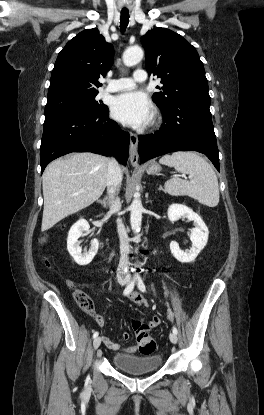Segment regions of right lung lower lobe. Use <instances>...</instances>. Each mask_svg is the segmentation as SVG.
<instances>
[{
	"instance_id": "obj_1",
	"label": "right lung lower lobe",
	"mask_w": 264,
	"mask_h": 415,
	"mask_svg": "<svg viewBox=\"0 0 264 415\" xmlns=\"http://www.w3.org/2000/svg\"><path fill=\"white\" fill-rule=\"evenodd\" d=\"M108 115V108L99 112L67 111L46 115L40 146L41 173L52 160L70 152L112 154L126 165L129 134Z\"/></svg>"
}]
</instances>
